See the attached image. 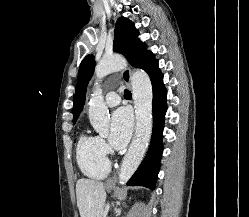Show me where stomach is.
<instances>
[{
	"instance_id": "obj_1",
	"label": "stomach",
	"mask_w": 249,
	"mask_h": 217,
	"mask_svg": "<svg viewBox=\"0 0 249 217\" xmlns=\"http://www.w3.org/2000/svg\"><path fill=\"white\" fill-rule=\"evenodd\" d=\"M106 189H107L108 191H111V190L114 189V187H112V186H107Z\"/></svg>"
}]
</instances>
